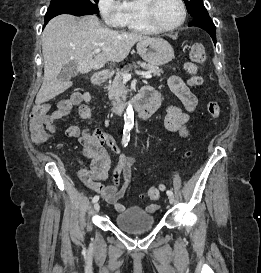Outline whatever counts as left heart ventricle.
<instances>
[{
    "instance_id": "obj_1",
    "label": "left heart ventricle",
    "mask_w": 261,
    "mask_h": 273,
    "mask_svg": "<svg viewBox=\"0 0 261 273\" xmlns=\"http://www.w3.org/2000/svg\"><path fill=\"white\" fill-rule=\"evenodd\" d=\"M182 17L181 7L177 0H160L156 9V19L163 27L176 25Z\"/></svg>"
}]
</instances>
